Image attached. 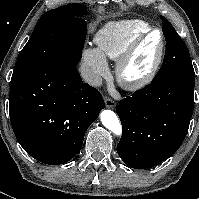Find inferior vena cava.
Masks as SVG:
<instances>
[{
  "instance_id": "obj_1",
  "label": "inferior vena cava",
  "mask_w": 199,
  "mask_h": 199,
  "mask_svg": "<svg viewBox=\"0 0 199 199\" xmlns=\"http://www.w3.org/2000/svg\"><path fill=\"white\" fill-rule=\"evenodd\" d=\"M80 73L83 78V80L90 85L97 87L102 84V78L100 75H98L96 72H94L92 69H90L87 66H81Z\"/></svg>"
}]
</instances>
